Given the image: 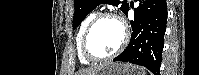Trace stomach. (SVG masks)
<instances>
[{
	"instance_id": "stomach-1",
	"label": "stomach",
	"mask_w": 199,
	"mask_h": 75,
	"mask_svg": "<svg viewBox=\"0 0 199 75\" xmlns=\"http://www.w3.org/2000/svg\"><path fill=\"white\" fill-rule=\"evenodd\" d=\"M95 75H145V71L126 63H110L102 67Z\"/></svg>"
}]
</instances>
